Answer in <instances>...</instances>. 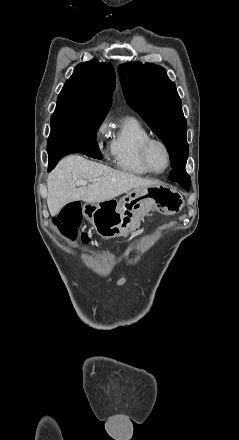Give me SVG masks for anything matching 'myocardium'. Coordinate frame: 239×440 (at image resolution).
<instances>
[{"mask_svg": "<svg viewBox=\"0 0 239 440\" xmlns=\"http://www.w3.org/2000/svg\"><path fill=\"white\" fill-rule=\"evenodd\" d=\"M154 145H160L166 152L167 166L163 171H156L152 166L151 159H150V151ZM141 159H142L144 166L151 174L163 175L171 167L172 154H171V150H170L169 146L167 145V143L165 141H163L162 139H159V138L150 137L147 140H145L141 145Z\"/></svg>", "mask_w": 239, "mask_h": 440, "instance_id": "obj_1", "label": "myocardium"}]
</instances>
